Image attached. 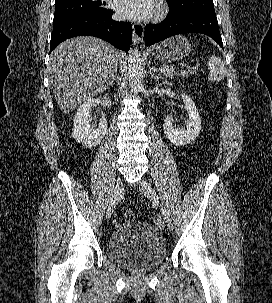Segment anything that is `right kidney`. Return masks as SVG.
I'll list each match as a JSON object with an SVG mask.
<instances>
[{
	"instance_id": "ca27d5eb",
	"label": "right kidney",
	"mask_w": 272,
	"mask_h": 303,
	"mask_svg": "<svg viewBox=\"0 0 272 303\" xmlns=\"http://www.w3.org/2000/svg\"><path fill=\"white\" fill-rule=\"evenodd\" d=\"M98 104H101L103 107H109L111 100L106 96L89 99L78 108L74 118L72 137L85 147L98 145L107 132L106 118H101L97 127L93 124L91 110L92 107Z\"/></svg>"
}]
</instances>
